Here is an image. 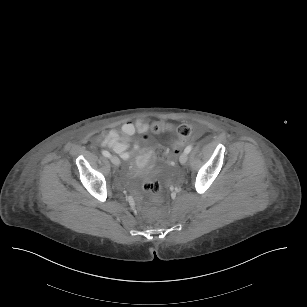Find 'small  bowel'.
<instances>
[{
    "instance_id": "1",
    "label": "small bowel",
    "mask_w": 307,
    "mask_h": 307,
    "mask_svg": "<svg viewBox=\"0 0 307 307\" xmlns=\"http://www.w3.org/2000/svg\"><path fill=\"white\" fill-rule=\"evenodd\" d=\"M149 124L143 119L125 122L120 130L112 129L102 138V145L110 147L120 155L122 159L130 158L128 151L131 144V137L136 133L145 135ZM137 148V145H135Z\"/></svg>"
}]
</instances>
